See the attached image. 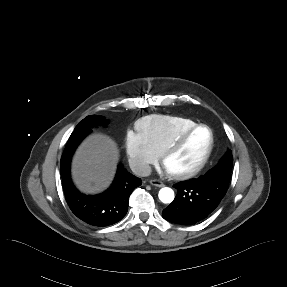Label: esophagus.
I'll return each instance as SVG.
<instances>
[{
  "mask_svg": "<svg viewBox=\"0 0 287 287\" xmlns=\"http://www.w3.org/2000/svg\"><path fill=\"white\" fill-rule=\"evenodd\" d=\"M149 183L152 185V186H156V187H163L164 184L163 182H161L160 180H157V179H151L149 181Z\"/></svg>",
  "mask_w": 287,
  "mask_h": 287,
  "instance_id": "esophagus-1",
  "label": "esophagus"
}]
</instances>
